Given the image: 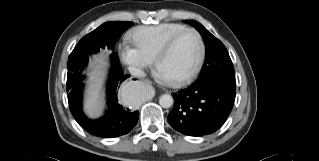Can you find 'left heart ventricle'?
<instances>
[{
  "label": "left heart ventricle",
  "mask_w": 319,
  "mask_h": 161,
  "mask_svg": "<svg viewBox=\"0 0 319 161\" xmlns=\"http://www.w3.org/2000/svg\"><path fill=\"white\" fill-rule=\"evenodd\" d=\"M198 55L197 37L193 33H188L178 40L172 51L161 62L159 73L166 78L182 76L194 67Z\"/></svg>",
  "instance_id": "b2bd125f"
}]
</instances>
